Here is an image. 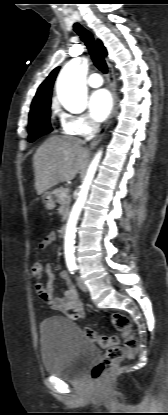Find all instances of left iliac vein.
<instances>
[{"label":"left iliac vein","instance_id":"obj_1","mask_svg":"<svg viewBox=\"0 0 168 415\" xmlns=\"http://www.w3.org/2000/svg\"><path fill=\"white\" fill-rule=\"evenodd\" d=\"M77 284L82 291H88L87 285L84 283L83 279L80 276L77 277Z\"/></svg>","mask_w":168,"mask_h":415}]
</instances>
